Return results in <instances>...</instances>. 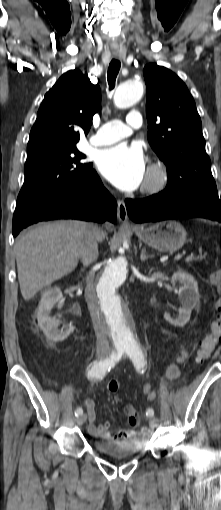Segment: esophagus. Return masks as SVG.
<instances>
[{
	"instance_id": "obj_1",
	"label": "esophagus",
	"mask_w": 221,
	"mask_h": 510,
	"mask_svg": "<svg viewBox=\"0 0 221 510\" xmlns=\"http://www.w3.org/2000/svg\"><path fill=\"white\" fill-rule=\"evenodd\" d=\"M118 54H115L117 56ZM117 216L120 222L124 225H130L128 222L127 209L124 200L118 202Z\"/></svg>"
}]
</instances>
